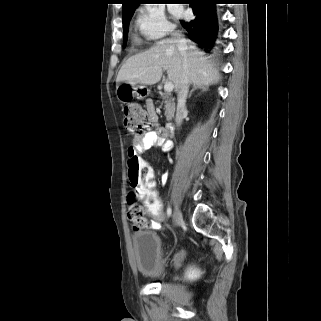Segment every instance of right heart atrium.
I'll return each instance as SVG.
<instances>
[{
  "label": "right heart atrium",
  "mask_w": 321,
  "mask_h": 321,
  "mask_svg": "<svg viewBox=\"0 0 321 321\" xmlns=\"http://www.w3.org/2000/svg\"><path fill=\"white\" fill-rule=\"evenodd\" d=\"M136 25L140 33L150 40L161 39L174 30L163 9L150 4L139 9Z\"/></svg>",
  "instance_id": "1"
}]
</instances>
